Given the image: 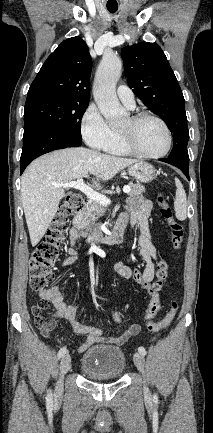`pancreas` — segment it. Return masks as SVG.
Segmentation results:
<instances>
[{
  "label": "pancreas",
  "mask_w": 213,
  "mask_h": 433,
  "mask_svg": "<svg viewBox=\"0 0 213 433\" xmlns=\"http://www.w3.org/2000/svg\"><path fill=\"white\" fill-rule=\"evenodd\" d=\"M129 187L131 188V191L129 192L131 197L142 196L143 192H145V187L140 184L130 183ZM105 210V206L92 201L86 208L79 212L78 216L81 218V224L86 235L91 237L99 235V229L96 222L98 218L105 213Z\"/></svg>",
  "instance_id": "cf45deb5"
}]
</instances>
